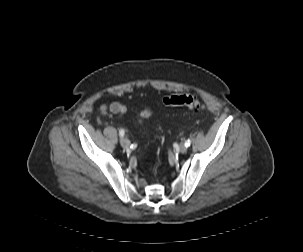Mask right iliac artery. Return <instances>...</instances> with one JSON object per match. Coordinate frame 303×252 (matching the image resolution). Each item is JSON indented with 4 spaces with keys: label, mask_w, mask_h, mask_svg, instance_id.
I'll return each mask as SVG.
<instances>
[{
    "label": "right iliac artery",
    "mask_w": 303,
    "mask_h": 252,
    "mask_svg": "<svg viewBox=\"0 0 303 252\" xmlns=\"http://www.w3.org/2000/svg\"><path fill=\"white\" fill-rule=\"evenodd\" d=\"M119 135H120V137H123V136H124V130H123V129H120V130H119Z\"/></svg>",
    "instance_id": "1"
}]
</instances>
